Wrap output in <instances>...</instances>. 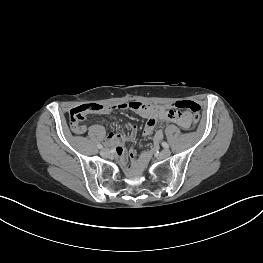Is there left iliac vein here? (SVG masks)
I'll list each match as a JSON object with an SVG mask.
<instances>
[{
    "label": "left iliac vein",
    "instance_id": "1",
    "mask_svg": "<svg viewBox=\"0 0 263 263\" xmlns=\"http://www.w3.org/2000/svg\"><path fill=\"white\" fill-rule=\"evenodd\" d=\"M171 155V151L168 149H164L160 152V157L162 159L168 158Z\"/></svg>",
    "mask_w": 263,
    "mask_h": 263
}]
</instances>
